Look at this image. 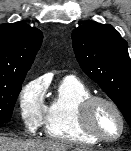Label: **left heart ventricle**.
Segmentation results:
<instances>
[{
  "label": "left heart ventricle",
  "mask_w": 131,
  "mask_h": 151,
  "mask_svg": "<svg viewBox=\"0 0 131 151\" xmlns=\"http://www.w3.org/2000/svg\"><path fill=\"white\" fill-rule=\"evenodd\" d=\"M93 125L97 132L105 137H115L120 131V122L115 112L105 104L96 106Z\"/></svg>",
  "instance_id": "left-heart-ventricle-1"
}]
</instances>
